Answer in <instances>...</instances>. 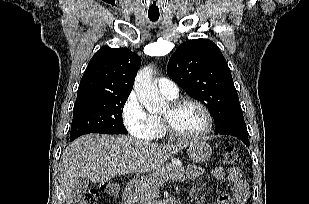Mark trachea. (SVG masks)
<instances>
[{
	"label": "trachea",
	"instance_id": "1",
	"mask_svg": "<svg viewBox=\"0 0 309 204\" xmlns=\"http://www.w3.org/2000/svg\"><path fill=\"white\" fill-rule=\"evenodd\" d=\"M149 19H150L151 21H157V20L159 19V17H151V16H149Z\"/></svg>",
	"mask_w": 309,
	"mask_h": 204
}]
</instances>
